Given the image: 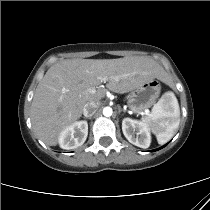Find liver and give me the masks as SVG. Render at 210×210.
<instances>
[{"mask_svg": "<svg viewBox=\"0 0 210 210\" xmlns=\"http://www.w3.org/2000/svg\"><path fill=\"white\" fill-rule=\"evenodd\" d=\"M164 80L163 68L148 57L118 59H68L52 65L39 82L31 104L37 136L55 146L61 132L80 119L88 102L106 94L100 88L123 94L153 79Z\"/></svg>", "mask_w": 210, "mask_h": 210, "instance_id": "1", "label": "liver"}]
</instances>
